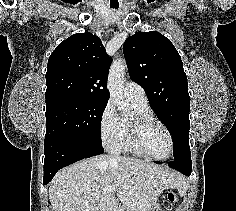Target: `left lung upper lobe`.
<instances>
[{"mask_svg": "<svg viewBox=\"0 0 236 211\" xmlns=\"http://www.w3.org/2000/svg\"><path fill=\"white\" fill-rule=\"evenodd\" d=\"M123 50L131 80L143 87L152 109L172 135L175 160H191L190 97L179 53L167 37L155 31L128 37Z\"/></svg>", "mask_w": 236, "mask_h": 211, "instance_id": "obj_1", "label": "left lung upper lobe"}]
</instances>
